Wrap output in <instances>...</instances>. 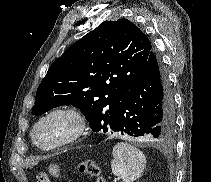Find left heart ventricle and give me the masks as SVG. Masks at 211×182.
<instances>
[{"label": "left heart ventricle", "instance_id": "b2bd125f", "mask_svg": "<svg viewBox=\"0 0 211 182\" xmlns=\"http://www.w3.org/2000/svg\"><path fill=\"white\" fill-rule=\"evenodd\" d=\"M75 127V121L66 115H55L45 120L36 131V139L41 144L57 142Z\"/></svg>", "mask_w": 211, "mask_h": 182}]
</instances>
